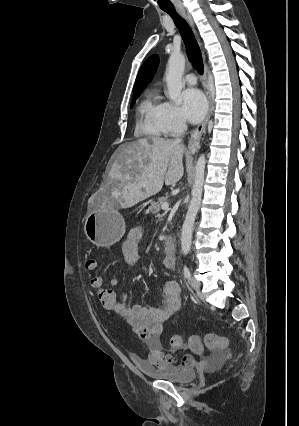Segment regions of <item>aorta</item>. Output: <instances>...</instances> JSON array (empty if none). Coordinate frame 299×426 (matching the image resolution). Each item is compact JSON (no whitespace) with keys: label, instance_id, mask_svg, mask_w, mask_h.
<instances>
[{"label":"aorta","instance_id":"aorta-1","mask_svg":"<svg viewBox=\"0 0 299 426\" xmlns=\"http://www.w3.org/2000/svg\"><path fill=\"white\" fill-rule=\"evenodd\" d=\"M184 69L185 56L182 53H172L168 60L165 78L168 87V98L176 105L182 104L181 91L184 87L182 81ZM205 166L206 158L205 155L202 154L196 162L194 184L191 192L192 198L182 226L181 249L183 255H187L191 247L194 222L202 200Z\"/></svg>","mask_w":299,"mask_h":426}]
</instances>
